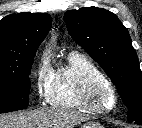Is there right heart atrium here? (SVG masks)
I'll use <instances>...</instances> for the list:
<instances>
[{
  "label": "right heart atrium",
  "instance_id": "d8ad5b80",
  "mask_svg": "<svg viewBox=\"0 0 142 128\" xmlns=\"http://www.w3.org/2000/svg\"><path fill=\"white\" fill-rule=\"evenodd\" d=\"M32 78L33 86L39 100L48 101L53 84L54 70L47 56H41L34 68Z\"/></svg>",
  "mask_w": 142,
  "mask_h": 128
}]
</instances>
